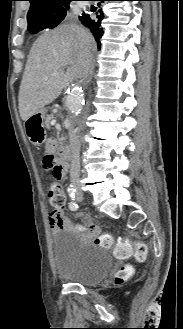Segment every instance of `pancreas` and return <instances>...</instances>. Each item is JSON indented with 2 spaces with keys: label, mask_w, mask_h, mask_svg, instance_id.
<instances>
[{
  "label": "pancreas",
  "mask_w": 183,
  "mask_h": 329,
  "mask_svg": "<svg viewBox=\"0 0 183 329\" xmlns=\"http://www.w3.org/2000/svg\"><path fill=\"white\" fill-rule=\"evenodd\" d=\"M54 118V115H48L46 118H45V121H44V124H45V127L47 129H50L51 125V120Z\"/></svg>",
  "instance_id": "1"
}]
</instances>
